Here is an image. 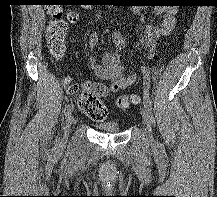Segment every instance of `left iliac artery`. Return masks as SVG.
<instances>
[{"label":"left iliac artery","mask_w":217,"mask_h":197,"mask_svg":"<svg viewBox=\"0 0 217 197\" xmlns=\"http://www.w3.org/2000/svg\"><path fill=\"white\" fill-rule=\"evenodd\" d=\"M143 79H144V105L149 111L152 110V101L149 97V87H150V71L147 67H142Z\"/></svg>","instance_id":"1"}]
</instances>
